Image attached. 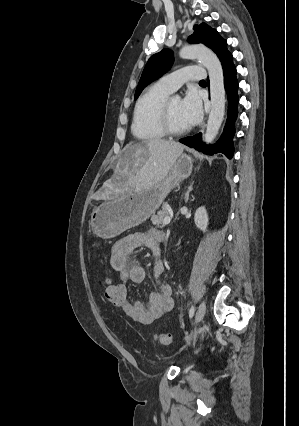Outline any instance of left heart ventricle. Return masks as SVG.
Returning <instances> with one entry per match:
<instances>
[{
  "instance_id": "1",
  "label": "left heart ventricle",
  "mask_w": 299,
  "mask_h": 426,
  "mask_svg": "<svg viewBox=\"0 0 299 426\" xmlns=\"http://www.w3.org/2000/svg\"><path fill=\"white\" fill-rule=\"evenodd\" d=\"M170 119L171 123L175 128H183L188 126L185 122L182 110H181V100L178 98H173L170 103Z\"/></svg>"
}]
</instances>
